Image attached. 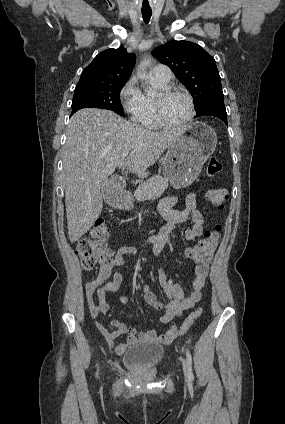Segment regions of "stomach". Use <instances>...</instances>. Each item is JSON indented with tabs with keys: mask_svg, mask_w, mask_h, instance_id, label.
I'll return each instance as SVG.
<instances>
[{
	"mask_svg": "<svg viewBox=\"0 0 285 424\" xmlns=\"http://www.w3.org/2000/svg\"><path fill=\"white\" fill-rule=\"evenodd\" d=\"M187 132L168 147L162 161L163 175L175 188L187 187L197 178L217 144L215 131L203 122L190 124ZM120 205L129 208L132 203L124 199Z\"/></svg>",
	"mask_w": 285,
	"mask_h": 424,
	"instance_id": "stomach-1",
	"label": "stomach"
}]
</instances>
